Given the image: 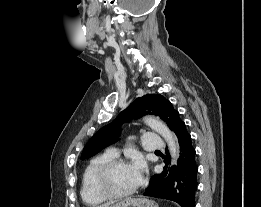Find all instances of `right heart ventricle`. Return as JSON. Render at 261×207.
<instances>
[{"label": "right heart ventricle", "instance_id": "obj_1", "mask_svg": "<svg viewBox=\"0 0 261 207\" xmlns=\"http://www.w3.org/2000/svg\"><path fill=\"white\" fill-rule=\"evenodd\" d=\"M113 159L114 156L105 152L91 159L86 165L82 174L80 194L87 205L96 206L107 200L97 188L96 177L101 167Z\"/></svg>", "mask_w": 261, "mask_h": 207}]
</instances>
